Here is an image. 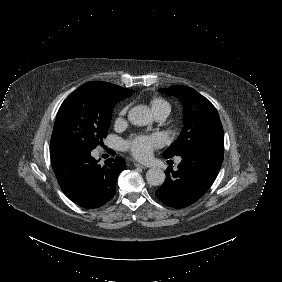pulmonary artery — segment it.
I'll use <instances>...</instances> for the list:
<instances>
[{"label":"pulmonary artery","instance_id":"pulmonary-artery-1","mask_svg":"<svg viewBox=\"0 0 282 282\" xmlns=\"http://www.w3.org/2000/svg\"><path fill=\"white\" fill-rule=\"evenodd\" d=\"M168 115H169V111H165L163 113H160V114L156 115V118L158 120L162 121V120H165Z\"/></svg>","mask_w":282,"mask_h":282}]
</instances>
